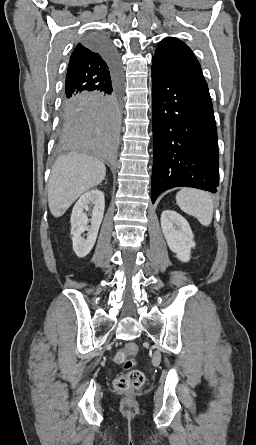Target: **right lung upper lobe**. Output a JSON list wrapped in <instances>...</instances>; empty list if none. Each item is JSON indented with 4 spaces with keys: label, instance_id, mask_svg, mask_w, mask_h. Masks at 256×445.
<instances>
[{
    "label": "right lung upper lobe",
    "instance_id": "cb5924a9",
    "mask_svg": "<svg viewBox=\"0 0 256 445\" xmlns=\"http://www.w3.org/2000/svg\"><path fill=\"white\" fill-rule=\"evenodd\" d=\"M110 81V68L101 52L85 42L79 43L69 60L64 98L100 91Z\"/></svg>",
    "mask_w": 256,
    "mask_h": 445
}]
</instances>
